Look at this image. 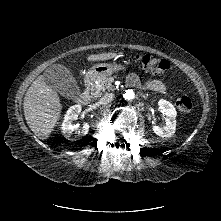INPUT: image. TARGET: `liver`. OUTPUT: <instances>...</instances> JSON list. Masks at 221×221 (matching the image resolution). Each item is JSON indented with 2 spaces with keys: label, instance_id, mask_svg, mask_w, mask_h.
Instances as JSON below:
<instances>
[{
  "label": "liver",
  "instance_id": "6515ba94",
  "mask_svg": "<svg viewBox=\"0 0 221 221\" xmlns=\"http://www.w3.org/2000/svg\"><path fill=\"white\" fill-rule=\"evenodd\" d=\"M116 53L105 52L88 56V61L108 60ZM62 105L58 94L49 87L40 75L29 87L24 98V113L31 130L42 139L48 137L60 118Z\"/></svg>",
  "mask_w": 221,
  "mask_h": 221
}]
</instances>
